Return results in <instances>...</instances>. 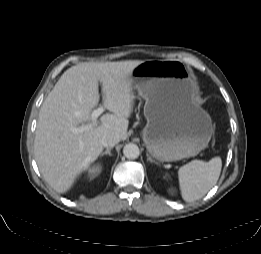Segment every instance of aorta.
<instances>
[{
    "instance_id": "762f6f07",
    "label": "aorta",
    "mask_w": 261,
    "mask_h": 254,
    "mask_svg": "<svg viewBox=\"0 0 261 254\" xmlns=\"http://www.w3.org/2000/svg\"><path fill=\"white\" fill-rule=\"evenodd\" d=\"M123 154L128 159H136L139 157V147L134 143L126 144L123 148Z\"/></svg>"
}]
</instances>
